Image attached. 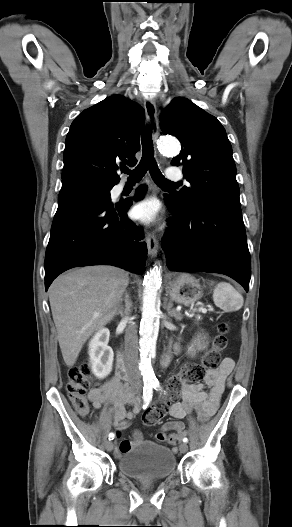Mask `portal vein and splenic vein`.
<instances>
[{
	"label": "portal vein and splenic vein",
	"instance_id": "1",
	"mask_svg": "<svg viewBox=\"0 0 292 527\" xmlns=\"http://www.w3.org/2000/svg\"><path fill=\"white\" fill-rule=\"evenodd\" d=\"M199 311H201L202 313H206L207 309L206 308H200Z\"/></svg>",
	"mask_w": 292,
	"mask_h": 527
}]
</instances>
